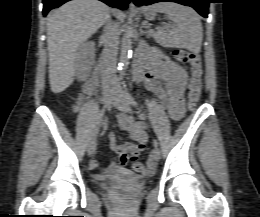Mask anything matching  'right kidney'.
I'll use <instances>...</instances> for the list:
<instances>
[{"label":"right kidney","mask_w":260,"mask_h":217,"mask_svg":"<svg viewBox=\"0 0 260 217\" xmlns=\"http://www.w3.org/2000/svg\"><path fill=\"white\" fill-rule=\"evenodd\" d=\"M95 45L86 42L81 45L76 59L75 73L79 81H85L92 69Z\"/></svg>","instance_id":"right-kidney-1"}]
</instances>
